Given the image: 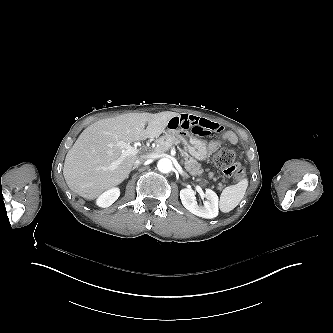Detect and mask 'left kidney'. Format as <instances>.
Instances as JSON below:
<instances>
[{
	"mask_svg": "<svg viewBox=\"0 0 333 333\" xmlns=\"http://www.w3.org/2000/svg\"><path fill=\"white\" fill-rule=\"evenodd\" d=\"M205 195L208 197L209 202H205L203 207H199L196 200V191L192 188H183L180 191V199L183 206L192 214L206 218L213 219L218 216V196L212 190H206Z\"/></svg>",
	"mask_w": 333,
	"mask_h": 333,
	"instance_id": "5707ae66",
	"label": "left kidney"
}]
</instances>
